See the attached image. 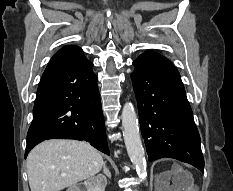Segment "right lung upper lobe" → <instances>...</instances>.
<instances>
[{"label": "right lung upper lobe", "instance_id": "right-lung-upper-lobe-1", "mask_svg": "<svg viewBox=\"0 0 233 191\" xmlns=\"http://www.w3.org/2000/svg\"><path fill=\"white\" fill-rule=\"evenodd\" d=\"M81 48L75 45L65 46L60 49L51 59V62L59 60H75L79 58H84Z\"/></svg>", "mask_w": 233, "mask_h": 191}]
</instances>
